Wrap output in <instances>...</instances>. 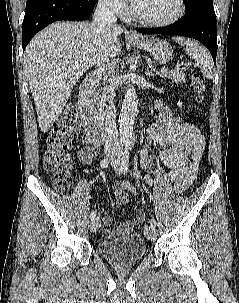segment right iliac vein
Listing matches in <instances>:
<instances>
[{"label": "right iliac vein", "mask_w": 239, "mask_h": 303, "mask_svg": "<svg viewBox=\"0 0 239 303\" xmlns=\"http://www.w3.org/2000/svg\"><path fill=\"white\" fill-rule=\"evenodd\" d=\"M107 159L112 160L110 156H107ZM100 227V218L96 217L91 220L89 228L91 232H96L98 228Z\"/></svg>", "instance_id": "right-iliac-vein-1"}]
</instances>
